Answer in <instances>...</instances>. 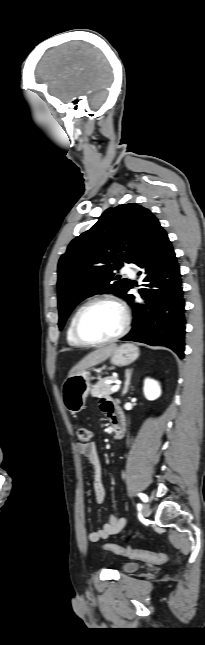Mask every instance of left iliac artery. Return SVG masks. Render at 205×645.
I'll list each match as a JSON object with an SVG mask.
<instances>
[{
	"mask_svg": "<svg viewBox=\"0 0 205 645\" xmlns=\"http://www.w3.org/2000/svg\"><path fill=\"white\" fill-rule=\"evenodd\" d=\"M138 496L141 498V500H142L143 502H147V501H148V497H147L145 494L139 493V494H138Z\"/></svg>",
	"mask_w": 205,
	"mask_h": 645,
	"instance_id": "44dca946",
	"label": "left iliac artery"
}]
</instances>
